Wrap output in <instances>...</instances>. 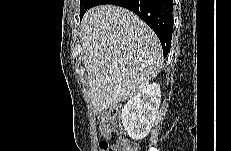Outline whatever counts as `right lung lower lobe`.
Segmentation results:
<instances>
[{
  "mask_svg": "<svg viewBox=\"0 0 231 151\" xmlns=\"http://www.w3.org/2000/svg\"><path fill=\"white\" fill-rule=\"evenodd\" d=\"M113 4L137 14L158 36L164 57L171 47L173 32V0H92L90 6ZM90 7V8H91Z\"/></svg>",
  "mask_w": 231,
  "mask_h": 151,
  "instance_id": "obj_1",
  "label": "right lung lower lobe"
}]
</instances>
